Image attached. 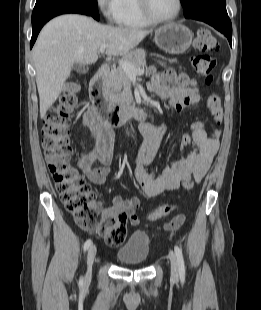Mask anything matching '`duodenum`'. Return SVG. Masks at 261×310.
Instances as JSON below:
<instances>
[{"label": "duodenum", "instance_id": "obj_1", "mask_svg": "<svg viewBox=\"0 0 261 310\" xmlns=\"http://www.w3.org/2000/svg\"><path fill=\"white\" fill-rule=\"evenodd\" d=\"M108 72L109 66L105 63L99 68L89 84L92 107L87 114V120L98 132H104L107 127L119 126L130 118L144 120L147 116L146 109L135 104H111L105 89Z\"/></svg>", "mask_w": 261, "mask_h": 310}]
</instances>
